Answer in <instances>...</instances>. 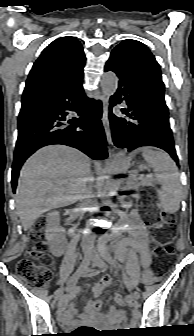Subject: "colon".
I'll use <instances>...</instances> for the list:
<instances>
[{
  "label": "colon",
  "instance_id": "colon-1",
  "mask_svg": "<svg viewBox=\"0 0 194 336\" xmlns=\"http://www.w3.org/2000/svg\"><path fill=\"white\" fill-rule=\"evenodd\" d=\"M144 213L150 218L152 228L161 233L160 240L154 246L153 252L156 256L167 257L173 253L171 244L173 235L169 228L173 225L174 219L165 211L161 210L155 203H144L142 205ZM46 220L38 218L30 232V243L26 257L20 259L17 263L16 270L19 276L28 284L44 288L48 285L51 278V270L44 265L35 264L31 258H40L46 251V241L44 239ZM153 282L152 278H148L146 283ZM127 301H130V296H127ZM82 329L79 332H83Z\"/></svg>",
  "mask_w": 194,
  "mask_h": 336
}]
</instances>
